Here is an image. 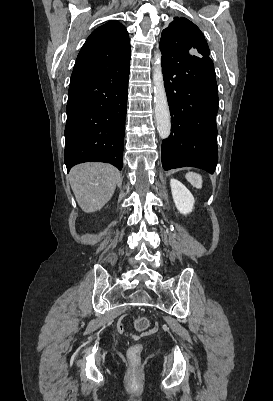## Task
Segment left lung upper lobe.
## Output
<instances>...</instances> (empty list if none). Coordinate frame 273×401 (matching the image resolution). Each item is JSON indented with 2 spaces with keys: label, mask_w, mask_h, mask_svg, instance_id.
<instances>
[{
  "label": "left lung upper lobe",
  "mask_w": 273,
  "mask_h": 401,
  "mask_svg": "<svg viewBox=\"0 0 273 401\" xmlns=\"http://www.w3.org/2000/svg\"><path fill=\"white\" fill-rule=\"evenodd\" d=\"M160 46L167 49L184 50L199 56H209L208 44L200 29L187 18H175L162 31Z\"/></svg>",
  "instance_id": "1"
}]
</instances>
